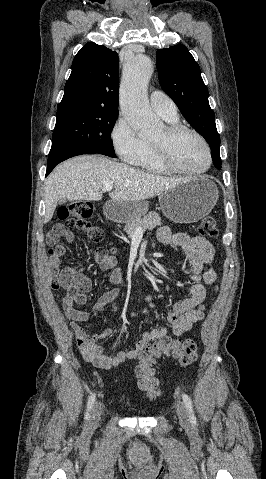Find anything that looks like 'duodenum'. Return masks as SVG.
<instances>
[{"instance_id": "obj_1", "label": "duodenum", "mask_w": 266, "mask_h": 479, "mask_svg": "<svg viewBox=\"0 0 266 479\" xmlns=\"http://www.w3.org/2000/svg\"><path fill=\"white\" fill-rule=\"evenodd\" d=\"M107 212H110V211H109V208H107Z\"/></svg>"}]
</instances>
